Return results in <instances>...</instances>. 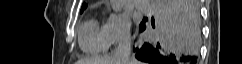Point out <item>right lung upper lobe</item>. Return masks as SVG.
Returning <instances> with one entry per match:
<instances>
[{
  "instance_id": "cb5924a9",
  "label": "right lung upper lobe",
  "mask_w": 242,
  "mask_h": 64,
  "mask_svg": "<svg viewBox=\"0 0 242 64\" xmlns=\"http://www.w3.org/2000/svg\"><path fill=\"white\" fill-rule=\"evenodd\" d=\"M86 6H87V5L84 3L83 6H82L81 11H83V10L86 8Z\"/></svg>"
}]
</instances>
